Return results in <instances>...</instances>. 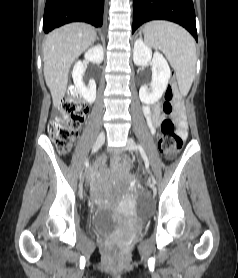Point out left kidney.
<instances>
[{
  "instance_id": "left-kidney-1",
  "label": "left kidney",
  "mask_w": 238,
  "mask_h": 278,
  "mask_svg": "<svg viewBox=\"0 0 238 278\" xmlns=\"http://www.w3.org/2000/svg\"><path fill=\"white\" fill-rule=\"evenodd\" d=\"M133 61L138 66L151 64L152 81L149 87L148 85L140 87L139 98L147 105L156 103L167 89L171 77L166 59L157 51L152 54V50L141 39H138L134 43Z\"/></svg>"
}]
</instances>
